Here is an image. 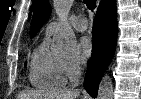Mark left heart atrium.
I'll return each mask as SVG.
<instances>
[{
  "label": "left heart atrium",
  "instance_id": "obj_1",
  "mask_svg": "<svg viewBox=\"0 0 141 99\" xmlns=\"http://www.w3.org/2000/svg\"><path fill=\"white\" fill-rule=\"evenodd\" d=\"M80 50L84 58H89L93 52V39L90 36H83L79 42Z\"/></svg>",
  "mask_w": 141,
  "mask_h": 99
}]
</instances>
